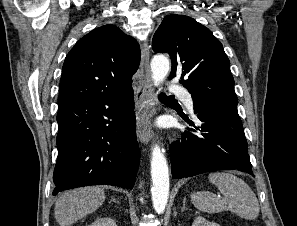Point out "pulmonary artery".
Returning <instances> with one entry per match:
<instances>
[{"instance_id":"1","label":"pulmonary artery","mask_w":297,"mask_h":226,"mask_svg":"<svg viewBox=\"0 0 297 226\" xmlns=\"http://www.w3.org/2000/svg\"><path fill=\"white\" fill-rule=\"evenodd\" d=\"M171 91L176 97L182 99L189 106V108L192 110L193 101H192V98H191L189 92L185 88L172 85Z\"/></svg>"}]
</instances>
